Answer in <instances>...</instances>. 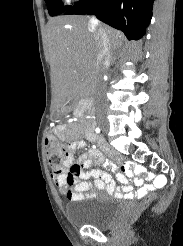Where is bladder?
Returning a JSON list of instances; mask_svg holds the SVG:
<instances>
[{"instance_id": "obj_1", "label": "bladder", "mask_w": 183, "mask_h": 246, "mask_svg": "<svg viewBox=\"0 0 183 246\" xmlns=\"http://www.w3.org/2000/svg\"><path fill=\"white\" fill-rule=\"evenodd\" d=\"M120 201L105 195H96L90 199L88 205L80 211L70 215L75 226L107 227L120 211Z\"/></svg>"}]
</instances>
